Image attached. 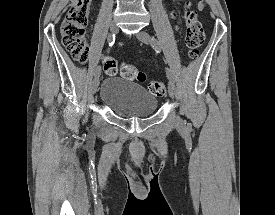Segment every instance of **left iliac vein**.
<instances>
[{"mask_svg": "<svg viewBox=\"0 0 275 215\" xmlns=\"http://www.w3.org/2000/svg\"><path fill=\"white\" fill-rule=\"evenodd\" d=\"M137 38L145 44H149L151 42L150 35L144 30H141L137 33ZM168 88H169L170 97L174 98L176 94V87L173 81H169ZM181 124H182L181 118H177V125H181Z\"/></svg>", "mask_w": 275, "mask_h": 215, "instance_id": "1", "label": "left iliac vein"}]
</instances>
